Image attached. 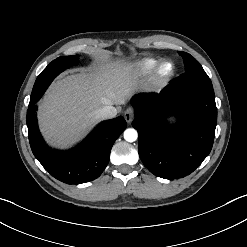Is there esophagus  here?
<instances>
[{
  "label": "esophagus",
  "instance_id": "1",
  "mask_svg": "<svg viewBox=\"0 0 247 247\" xmlns=\"http://www.w3.org/2000/svg\"><path fill=\"white\" fill-rule=\"evenodd\" d=\"M134 112L131 109H127L124 113V119L127 123H130L133 120Z\"/></svg>",
  "mask_w": 247,
  "mask_h": 247
}]
</instances>
